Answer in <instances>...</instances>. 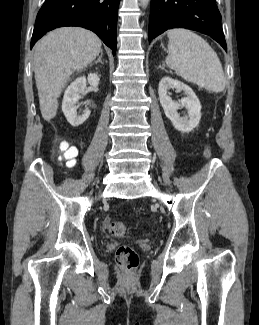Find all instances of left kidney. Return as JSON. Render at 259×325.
Masks as SVG:
<instances>
[{"mask_svg":"<svg viewBox=\"0 0 259 325\" xmlns=\"http://www.w3.org/2000/svg\"><path fill=\"white\" fill-rule=\"evenodd\" d=\"M170 89L183 91L186 97L182 98L179 102H175L169 96L168 91ZM158 94L165 115L170 119L175 129L180 132H190L199 124L201 119V105L196 94L189 86L170 77H164L159 83ZM179 107L186 108L188 117H181L178 114L177 110Z\"/></svg>","mask_w":259,"mask_h":325,"instance_id":"obj_1","label":"left kidney"}]
</instances>
